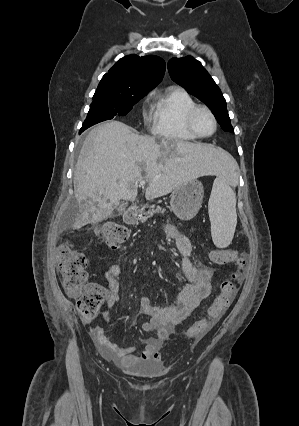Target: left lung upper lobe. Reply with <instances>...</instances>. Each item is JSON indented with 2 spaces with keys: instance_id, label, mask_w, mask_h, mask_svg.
Here are the masks:
<instances>
[{
  "instance_id": "1",
  "label": "left lung upper lobe",
  "mask_w": 299,
  "mask_h": 426,
  "mask_svg": "<svg viewBox=\"0 0 299 426\" xmlns=\"http://www.w3.org/2000/svg\"><path fill=\"white\" fill-rule=\"evenodd\" d=\"M168 71L173 81L209 106L223 130L234 132L221 90L199 61L191 56L172 58Z\"/></svg>"
}]
</instances>
